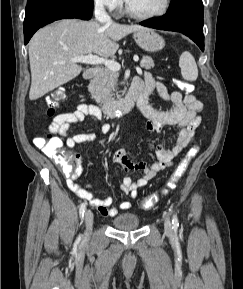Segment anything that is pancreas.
<instances>
[{
	"instance_id": "cf45deb5",
	"label": "pancreas",
	"mask_w": 243,
	"mask_h": 289,
	"mask_svg": "<svg viewBox=\"0 0 243 289\" xmlns=\"http://www.w3.org/2000/svg\"><path fill=\"white\" fill-rule=\"evenodd\" d=\"M140 66L149 70L154 67V61L149 56H143ZM118 76L117 71H113L107 67L99 71L88 86L89 92L96 102L106 103L112 99V92L117 86Z\"/></svg>"
}]
</instances>
